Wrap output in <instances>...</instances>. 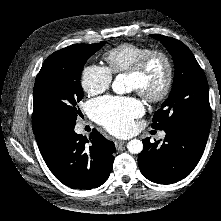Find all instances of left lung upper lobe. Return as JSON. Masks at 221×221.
<instances>
[{
    "instance_id": "left-lung-upper-lobe-1",
    "label": "left lung upper lobe",
    "mask_w": 221,
    "mask_h": 221,
    "mask_svg": "<svg viewBox=\"0 0 221 221\" xmlns=\"http://www.w3.org/2000/svg\"><path fill=\"white\" fill-rule=\"evenodd\" d=\"M151 37L167 48L175 66L172 90L161 109L154 114L152 127L165 130L179 124H192L210 129L208 84L194 55L177 39L159 34Z\"/></svg>"
}]
</instances>
